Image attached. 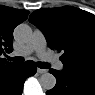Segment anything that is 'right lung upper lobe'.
<instances>
[{"instance_id":"1","label":"right lung upper lobe","mask_w":95,"mask_h":95,"mask_svg":"<svg viewBox=\"0 0 95 95\" xmlns=\"http://www.w3.org/2000/svg\"><path fill=\"white\" fill-rule=\"evenodd\" d=\"M28 14L29 11L26 10L0 6V55L4 51L12 52L13 30L18 24L27 19ZM16 65V63L7 62L6 59L0 58V75Z\"/></svg>"}]
</instances>
